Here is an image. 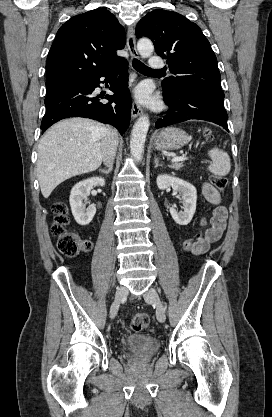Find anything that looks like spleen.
<instances>
[{"label":"spleen","instance_id":"spleen-1","mask_svg":"<svg viewBox=\"0 0 272 417\" xmlns=\"http://www.w3.org/2000/svg\"><path fill=\"white\" fill-rule=\"evenodd\" d=\"M211 158L208 170L218 176H226L231 169L230 157L227 152L218 148L211 149L208 152Z\"/></svg>","mask_w":272,"mask_h":417}]
</instances>
